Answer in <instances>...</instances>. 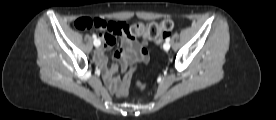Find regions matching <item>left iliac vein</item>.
<instances>
[{
	"mask_svg": "<svg viewBox=\"0 0 276 120\" xmlns=\"http://www.w3.org/2000/svg\"><path fill=\"white\" fill-rule=\"evenodd\" d=\"M163 48H164V50L168 51L170 49V44L169 43H165L163 45Z\"/></svg>",
	"mask_w": 276,
	"mask_h": 120,
	"instance_id": "1",
	"label": "left iliac vein"
}]
</instances>
